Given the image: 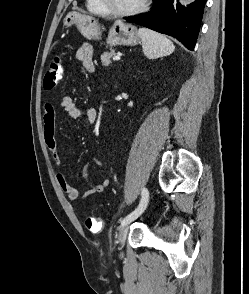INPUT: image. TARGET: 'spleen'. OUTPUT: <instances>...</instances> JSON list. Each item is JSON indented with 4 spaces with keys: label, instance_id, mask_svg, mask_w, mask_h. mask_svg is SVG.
Here are the masks:
<instances>
[{
    "label": "spleen",
    "instance_id": "1",
    "mask_svg": "<svg viewBox=\"0 0 249 294\" xmlns=\"http://www.w3.org/2000/svg\"><path fill=\"white\" fill-rule=\"evenodd\" d=\"M138 33L142 40L143 53L149 59L170 55L175 50L174 44L160 33L144 27L139 28Z\"/></svg>",
    "mask_w": 249,
    "mask_h": 294
}]
</instances>
